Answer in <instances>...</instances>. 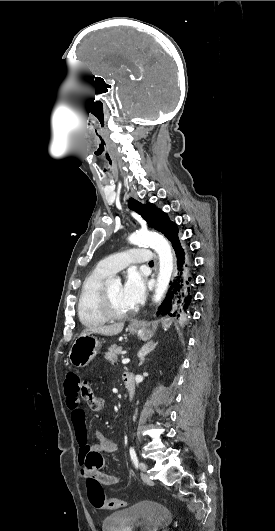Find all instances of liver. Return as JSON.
Instances as JSON below:
<instances>
[{
	"label": "liver",
	"mask_w": 275,
	"mask_h": 531,
	"mask_svg": "<svg viewBox=\"0 0 275 531\" xmlns=\"http://www.w3.org/2000/svg\"><path fill=\"white\" fill-rule=\"evenodd\" d=\"M124 329V323H113V325H99V327H90L86 329L82 335H86L88 331L91 333H99V335H105V337H113V335H118Z\"/></svg>",
	"instance_id": "obj_1"
}]
</instances>
